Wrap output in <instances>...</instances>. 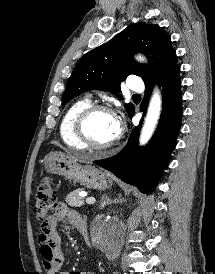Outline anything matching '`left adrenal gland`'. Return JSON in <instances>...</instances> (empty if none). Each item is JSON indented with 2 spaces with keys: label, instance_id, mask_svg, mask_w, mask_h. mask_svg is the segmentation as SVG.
<instances>
[{
  "label": "left adrenal gland",
  "instance_id": "1",
  "mask_svg": "<svg viewBox=\"0 0 215 274\" xmlns=\"http://www.w3.org/2000/svg\"><path fill=\"white\" fill-rule=\"evenodd\" d=\"M115 202H116V199L111 200V199H109V197L107 195H103L101 198V201H100L99 209H103L106 205H109V204H112Z\"/></svg>",
  "mask_w": 215,
  "mask_h": 274
}]
</instances>
